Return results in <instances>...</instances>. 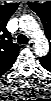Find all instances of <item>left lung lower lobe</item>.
<instances>
[{
    "label": "left lung lower lobe",
    "mask_w": 51,
    "mask_h": 101,
    "mask_svg": "<svg viewBox=\"0 0 51 101\" xmlns=\"http://www.w3.org/2000/svg\"><path fill=\"white\" fill-rule=\"evenodd\" d=\"M39 61H40L41 65H42L46 70H50V68H51V63H50V62L44 61V59H42V58H39Z\"/></svg>",
    "instance_id": "0a47b994"
}]
</instances>
